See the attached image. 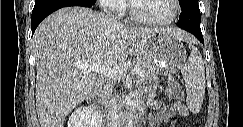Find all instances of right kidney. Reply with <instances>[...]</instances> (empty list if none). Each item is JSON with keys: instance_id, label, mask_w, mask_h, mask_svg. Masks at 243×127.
<instances>
[{"instance_id": "right-kidney-1", "label": "right kidney", "mask_w": 243, "mask_h": 127, "mask_svg": "<svg viewBox=\"0 0 243 127\" xmlns=\"http://www.w3.org/2000/svg\"><path fill=\"white\" fill-rule=\"evenodd\" d=\"M101 124V115L96 110L86 106L77 108L68 120V127H101Z\"/></svg>"}]
</instances>
